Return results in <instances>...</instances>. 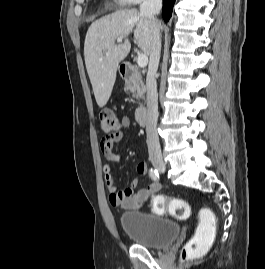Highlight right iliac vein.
Here are the masks:
<instances>
[{"label":"right iliac vein","mask_w":265,"mask_h":269,"mask_svg":"<svg viewBox=\"0 0 265 269\" xmlns=\"http://www.w3.org/2000/svg\"><path fill=\"white\" fill-rule=\"evenodd\" d=\"M153 166L160 172H165L166 165L163 160L161 159H155L152 161Z\"/></svg>","instance_id":"63e3f726"}]
</instances>
